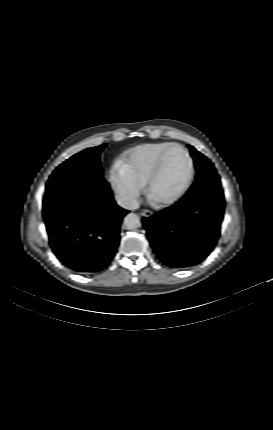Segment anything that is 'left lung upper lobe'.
Segmentation results:
<instances>
[{
    "label": "left lung upper lobe",
    "instance_id": "obj_1",
    "mask_svg": "<svg viewBox=\"0 0 273 430\" xmlns=\"http://www.w3.org/2000/svg\"><path fill=\"white\" fill-rule=\"evenodd\" d=\"M189 148L191 151V155L194 158L195 166L197 169V178H200L203 173L216 172L214 165L210 162L209 159H207V157L195 150L193 146H190Z\"/></svg>",
    "mask_w": 273,
    "mask_h": 430
}]
</instances>
